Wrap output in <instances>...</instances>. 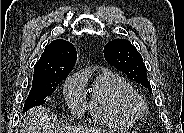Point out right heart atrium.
Instances as JSON below:
<instances>
[{
	"mask_svg": "<svg viewBox=\"0 0 184 133\" xmlns=\"http://www.w3.org/2000/svg\"><path fill=\"white\" fill-rule=\"evenodd\" d=\"M85 83L81 75L71 76L64 85L65 99L74 114H81L85 98Z\"/></svg>",
	"mask_w": 184,
	"mask_h": 133,
	"instance_id": "obj_1",
	"label": "right heart atrium"
}]
</instances>
